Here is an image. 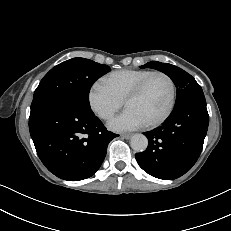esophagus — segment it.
<instances>
[{"label": "esophagus", "instance_id": "obj_1", "mask_svg": "<svg viewBox=\"0 0 231 231\" xmlns=\"http://www.w3.org/2000/svg\"><path fill=\"white\" fill-rule=\"evenodd\" d=\"M132 136V134H121L122 138L129 139Z\"/></svg>", "mask_w": 231, "mask_h": 231}]
</instances>
